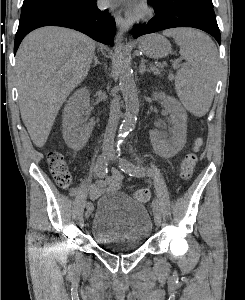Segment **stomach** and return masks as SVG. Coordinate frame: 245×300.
I'll list each match as a JSON object with an SVG mask.
<instances>
[{"instance_id": "0dacf381", "label": "stomach", "mask_w": 245, "mask_h": 300, "mask_svg": "<svg viewBox=\"0 0 245 300\" xmlns=\"http://www.w3.org/2000/svg\"><path fill=\"white\" fill-rule=\"evenodd\" d=\"M138 48L145 55L163 58L171 53L170 42L160 34H151L140 39Z\"/></svg>"}]
</instances>
